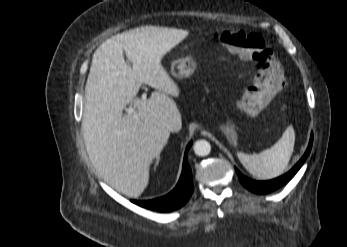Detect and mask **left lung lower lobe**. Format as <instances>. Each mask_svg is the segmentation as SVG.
<instances>
[{
	"instance_id": "0a47b994",
	"label": "left lung lower lobe",
	"mask_w": 347,
	"mask_h": 247,
	"mask_svg": "<svg viewBox=\"0 0 347 247\" xmlns=\"http://www.w3.org/2000/svg\"><path fill=\"white\" fill-rule=\"evenodd\" d=\"M312 143H313V136L311 135L308 148H307L304 156L299 160V162L288 173H286L285 175H283L281 177L273 179V180L254 181V180H251V179L243 176L238 171V169L235 168L241 183L247 189H249L250 191L257 193V194H267V193H270L274 190H277L278 188L285 185L289 180H291L293 178V176L297 173V171L301 168V166L303 165L304 161L306 160V158L308 157V155L311 151Z\"/></svg>"
}]
</instances>
